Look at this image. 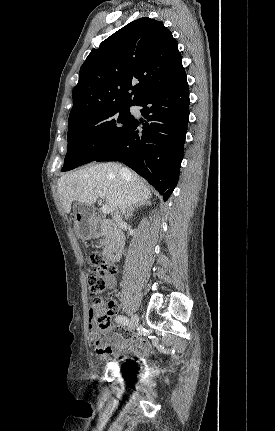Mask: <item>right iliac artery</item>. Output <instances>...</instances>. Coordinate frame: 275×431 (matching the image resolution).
<instances>
[{"mask_svg": "<svg viewBox=\"0 0 275 431\" xmlns=\"http://www.w3.org/2000/svg\"><path fill=\"white\" fill-rule=\"evenodd\" d=\"M115 321L124 325V326L129 324V319L125 316H122V315L116 316Z\"/></svg>", "mask_w": 275, "mask_h": 431, "instance_id": "82829eb1", "label": "right iliac artery"}]
</instances>
